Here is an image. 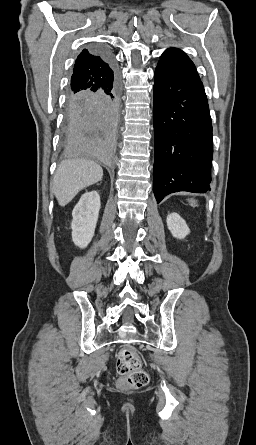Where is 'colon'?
Returning <instances> with one entry per match:
<instances>
[{
  "mask_svg": "<svg viewBox=\"0 0 256 445\" xmlns=\"http://www.w3.org/2000/svg\"><path fill=\"white\" fill-rule=\"evenodd\" d=\"M118 384L121 388L139 389L147 385L149 376L142 367V360L132 347H124L117 358Z\"/></svg>",
  "mask_w": 256,
  "mask_h": 445,
  "instance_id": "obj_1",
  "label": "colon"
}]
</instances>
